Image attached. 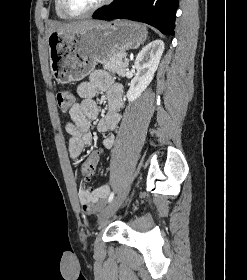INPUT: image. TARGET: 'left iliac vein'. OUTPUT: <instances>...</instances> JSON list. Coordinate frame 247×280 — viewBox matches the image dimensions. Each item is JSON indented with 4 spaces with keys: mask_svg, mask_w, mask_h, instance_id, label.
Wrapping results in <instances>:
<instances>
[{
    "mask_svg": "<svg viewBox=\"0 0 247 280\" xmlns=\"http://www.w3.org/2000/svg\"><path fill=\"white\" fill-rule=\"evenodd\" d=\"M129 188H125L120 194H118L109 205L100 214L98 222L104 224L121 206L125 198L127 197Z\"/></svg>",
    "mask_w": 247,
    "mask_h": 280,
    "instance_id": "left-iliac-vein-1",
    "label": "left iliac vein"
}]
</instances>
